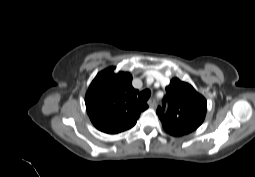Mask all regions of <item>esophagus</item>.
Masks as SVG:
<instances>
[{"label":"esophagus","mask_w":255,"mask_h":177,"mask_svg":"<svg viewBox=\"0 0 255 177\" xmlns=\"http://www.w3.org/2000/svg\"><path fill=\"white\" fill-rule=\"evenodd\" d=\"M148 105L149 107L154 108L156 106V100L154 99L149 100Z\"/></svg>","instance_id":"34e87169"}]
</instances>
